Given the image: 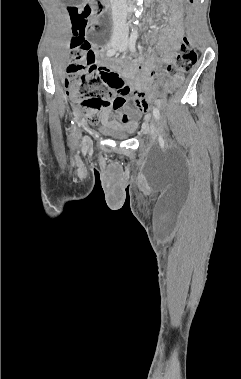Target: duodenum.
Here are the masks:
<instances>
[{
	"instance_id": "410a0bca",
	"label": "duodenum",
	"mask_w": 241,
	"mask_h": 379,
	"mask_svg": "<svg viewBox=\"0 0 241 379\" xmlns=\"http://www.w3.org/2000/svg\"><path fill=\"white\" fill-rule=\"evenodd\" d=\"M102 2H103V4H105V5H108V3H109V0H101Z\"/></svg>"
}]
</instances>
